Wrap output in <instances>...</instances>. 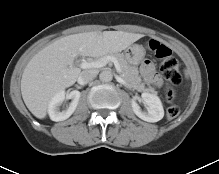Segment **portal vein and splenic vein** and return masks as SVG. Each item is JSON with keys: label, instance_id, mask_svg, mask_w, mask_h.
Instances as JSON below:
<instances>
[{"label": "portal vein and splenic vein", "instance_id": "obj_1", "mask_svg": "<svg viewBox=\"0 0 219 174\" xmlns=\"http://www.w3.org/2000/svg\"><path fill=\"white\" fill-rule=\"evenodd\" d=\"M108 62H112L114 64L117 72L121 73V67H120L118 60L115 57L109 56V55L104 56V57H102L96 61H92V62L83 61L80 64V68H82V69L100 68V67L107 65Z\"/></svg>", "mask_w": 219, "mask_h": 174}]
</instances>
